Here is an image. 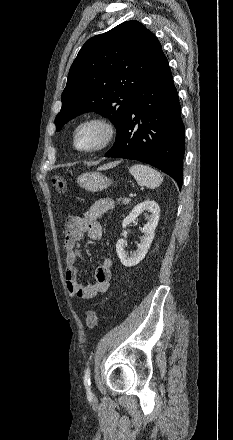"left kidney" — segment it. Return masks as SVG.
Masks as SVG:
<instances>
[{"label":"left kidney","mask_w":233,"mask_h":440,"mask_svg":"<svg viewBox=\"0 0 233 440\" xmlns=\"http://www.w3.org/2000/svg\"><path fill=\"white\" fill-rule=\"evenodd\" d=\"M149 211L150 216L147 217L148 222L140 231L143 233L140 243L137 245L138 248L130 256L125 251V240L119 239L116 244V252L121 261V263L126 267H132L137 265L142 261L150 248V245L154 239V232L158 225L160 208L155 201H144L137 204L129 215L124 218L122 222V227L126 228L130 223L135 221L139 215Z\"/></svg>","instance_id":"left-kidney-1"}]
</instances>
